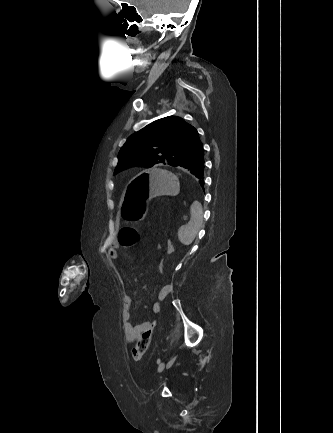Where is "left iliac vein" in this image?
<instances>
[{
	"label": "left iliac vein",
	"instance_id": "1",
	"mask_svg": "<svg viewBox=\"0 0 333 433\" xmlns=\"http://www.w3.org/2000/svg\"><path fill=\"white\" fill-rule=\"evenodd\" d=\"M164 368H165V363L162 362V363L159 364L157 370H158V372L160 373V372H162V371L164 370Z\"/></svg>",
	"mask_w": 333,
	"mask_h": 433
}]
</instances>
